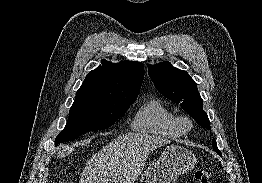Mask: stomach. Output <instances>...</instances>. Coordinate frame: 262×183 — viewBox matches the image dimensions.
<instances>
[{"label":"stomach","mask_w":262,"mask_h":183,"mask_svg":"<svg viewBox=\"0 0 262 183\" xmlns=\"http://www.w3.org/2000/svg\"><path fill=\"white\" fill-rule=\"evenodd\" d=\"M194 154L178 145H168L160 158L142 173L139 183H176L179 175L194 168Z\"/></svg>","instance_id":"1"}]
</instances>
